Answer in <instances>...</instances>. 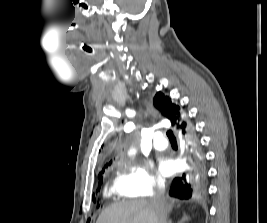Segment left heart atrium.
<instances>
[{
	"mask_svg": "<svg viewBox=\"0 0 267 223\" xmlns=\"http://www.w3.org/2000/svg\"><path fill=\"white\" fill-rule=\"evenodd\" d=\"M177 169L176 163L171 158L162 159L159 163V171L164 176L172 175Z\"/></svg>",
	"mask_w": 267,
	"mask_h": 223,
	"instance_id": "1",
	"label": "left heart atrium"
}]
</instances>
